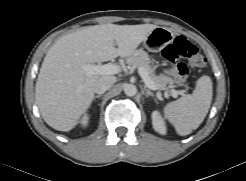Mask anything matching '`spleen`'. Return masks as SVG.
<instances>
[{"label": "spleen", "mask_w": 246, "mask_h": 181, "mask_svg": "<svg viewBox=\"0 0 246 181\" xmlns=\"http://www.w3.org/2000/svg\"><path fill=\"white\" fill-rule=\"evenodd\" d=\"M212 94V80L203 75L197 80L192 94L164 106V116L179 135H188L205 119L212 102Z\"/></svg>", "instance_id": "1"}]
</instances>
